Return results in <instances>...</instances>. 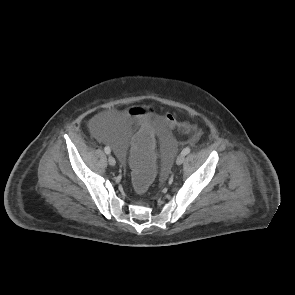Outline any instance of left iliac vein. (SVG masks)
<instances>
[{"instance_id": "1", "label": "left iliac vein", "mask_w": 295, "mask_h": 295, "mask_svg": "<svg viewBox=\"0 0 295 295\" xmlns=\"http://www.w3.org/2000/svg\"><path fill=\"white\" fill-rule=\"evenodd\" d=\"M185 160V156L184 155H180L177 157V160H176V164L177 165H181Z\"/></svg>"}]
</instances>
